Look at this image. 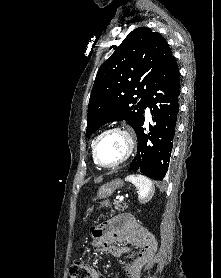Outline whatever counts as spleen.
Instances as JSON below:
<instances>
[{
    "instance_id": "spleen-1",
    "label": "spleen",
    "mask_w": 221,
    "mask_h": 278,
    "mask_svg": "<svg viewBox=\"0 0 221 278\" xmlns=\"http://www.w3.org/2000/svg\"><path fill=\"white\" fill-rule=\"evenodd\" d=\"M125 180L131 182L138 188V199L140 202H146L155 191L152 181L143 175H129Z\"/></svg>"
}]
</instances>
